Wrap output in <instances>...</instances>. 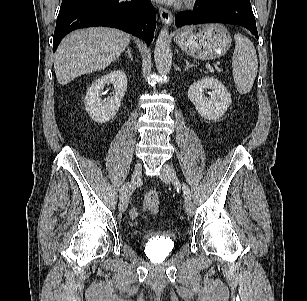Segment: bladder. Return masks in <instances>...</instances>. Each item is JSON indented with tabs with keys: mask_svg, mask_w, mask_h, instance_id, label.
I'll return each instance as SVG.
<instances>
[{
	"mask_svg": "<svg viewBox=\"0 0 307 301\" xmlns=\"http://www.w3.org/2000/svg\"><path fill=\"white\" fill-rule=\"evenodd\" d=\"M156 237H158V236H151L150 238H156Z\"/></svg>",
	"mask_w": 307,
	"mask_h": 301,
	"instance_id": "obj_1",
	"label": "bladder"
}]
</instances>
